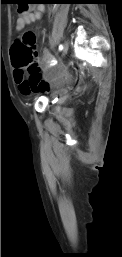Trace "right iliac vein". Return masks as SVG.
<instances>
[{"instance_id":"right-iliac-vein-1","label":"right iliac vein","mask_w":122,"mask_h":257,"mask_svg":"<svg viewBox=\"0 0 122 257\" xmlns=\"http://www.w3.org/2000/svg\"><path fill=\"white\" fill-rule=\"evenodd\" d=\"M68 48H69V43L65 42L64 47H63V52H62L63 56L67 53Z\"/></svg>"}]
</instances>
